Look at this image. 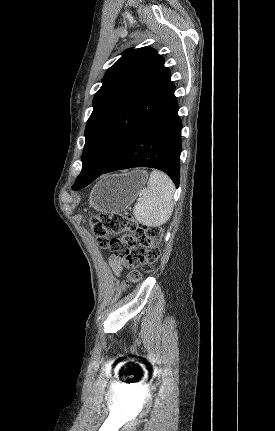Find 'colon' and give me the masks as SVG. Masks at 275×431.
<instances>
[{"label": "colon", "mask_w": 275, "mask_h": 431, "mask_svg": "<svg viewBox=\"0 0 275 431\" xmlns=\"http://www.w3.org/2000/svg\"><path fill=\"white\" fill-rule=\"evenodd\" d=\"M98 244L120 258L128 269V281L135 283L150 273L160 256L159 242L163 229L139 224L131 215L102 214L89 220ZM108 235L116 237L109 240Z\"/></svg>", "instance_id": "5ec220e1"}]
</instances>
